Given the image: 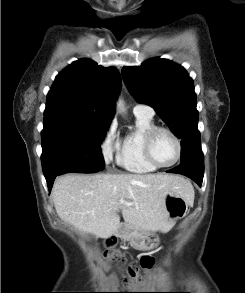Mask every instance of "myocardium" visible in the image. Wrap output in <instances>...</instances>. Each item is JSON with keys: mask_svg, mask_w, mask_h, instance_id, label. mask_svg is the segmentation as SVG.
Masks as SVG:
<instances>
[{"mask_svg": "<svg viewBox=\"0 0 245 293\" xmlns=\"http://www.w3.org/2000/svg\"><path fill=\"white\" fill-rule=\"evenodd\" d=\"M159 132L168 133L172 137V139L174 140L176 147H177L176 157L174 158V160L172 162H170L168 164H160L154 158L153 153H152L153 141H154L155 136ZM143 151H144L145 158L153 166H155L156 168H168V167L175 165L179 161V159L181 157V153H182V143H181L179 136L172 129H170L168 127H164V126H156V127L152 128L151 130H149L145 134L144 141H143Z\"/></svg>", "mask_w": 245, "mask_h": 293, "instance_id": "1", "label": "myocardium"}]
</instances>
